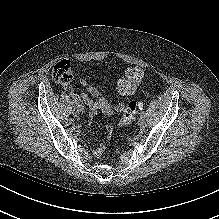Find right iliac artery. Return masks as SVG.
<instances>
[{"mask_svg": "<svg viewBox=\"0 0 219 219\" xmlns=\"http://www.w3.org/2000/svg\"><path fill=\"white\" fill-rule=\"evenodd\" d=\"M72 103H73L74 105L78 106V107H81V105L78 104V101H77L76 99H73Z\"/></svg>", "mask_w": 219, "mask_h": 219, "instance_id": "obj_1", "label": "right iliac artery"}]
</instances>
